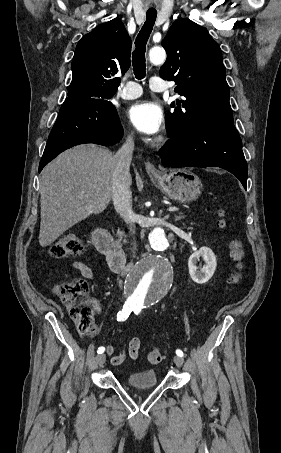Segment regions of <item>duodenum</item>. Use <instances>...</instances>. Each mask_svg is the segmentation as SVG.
<instances>
[{
  "instance_id": "1",
  "label": "duodenum",
  "mask_w": 281,
  "mask_h": 453,
  "mask_svg": "<svg viewBox=\"0 0 281 453\" xmlns=\"http://www.w3.org/2000/svg\"><path fill=\"white\" fill-rule=\"evenodd\" d=\"M93 242L96 248L106 256L110 268L114 272H122L126 267V255L112 235L102 227L95 229Z\"/></svg>"
}]
</instances>
